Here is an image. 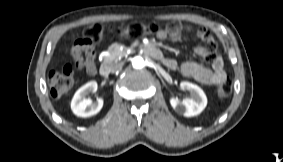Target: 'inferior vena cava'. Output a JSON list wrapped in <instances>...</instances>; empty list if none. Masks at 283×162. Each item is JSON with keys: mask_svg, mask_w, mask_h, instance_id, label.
<instances>
[{"mask_svg": "<svg viewBox=\"0 0 283 162\" xmlns=\"http://www.w3.org/2000/svg\"><path fill=\"white\" fill-rule=\"evenodd\" d=\"M123 64L122 63H118L115 66H113V68L111 69L112 72H116L119 71L122 68Z\"/></svg>", "mask_w": 283, "mask_h": 162, "instance_id": "1", "label": "inferior vena cava"}]
</instances>
